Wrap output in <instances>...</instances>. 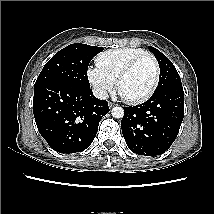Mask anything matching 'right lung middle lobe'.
Here are the masks:
<instances>
[{
  "mask_svg": "<svg viewBox=\"0 0 214 214\" xmlns=\"http://www.w3.org/2000/svg\"><path fill=\"white\" fill-rule=\"evenodd\" d=\"M103 49L81 43L63 48L45 64L37 78L35 87L52 81L90 87L87 77L88 65L92 58Z\"/></svg>",
  "mask_w": 214,
  "mask_h": 214,
  "instance_id": "right-lung-middle-lobe-1",
  "label": "right lung middle lobe"
}]
</instances>
